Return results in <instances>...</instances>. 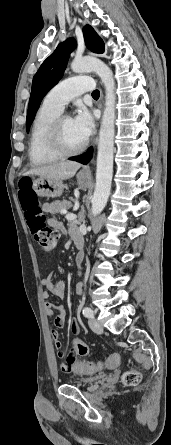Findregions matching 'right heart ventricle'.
<instances>
[{
  "mask_svg": "<svg viewBox=\"0 0 171 445\" xmlns=\"http://www.w3.org/2000/svg\"><path fill=\"white\" fill-rule=\"evenodd\" d=\"M60 113L61 111L44 103L38 110L32 125L29 141V158L34 165H44L61 157L52 152L47 145L48 128Z\"/></svg>",
  "mask_w": 171,
  "mask_h": 445,
  "instance_id": "obj_1",
  "label": "right heart ventricle"
}]
</instances>
